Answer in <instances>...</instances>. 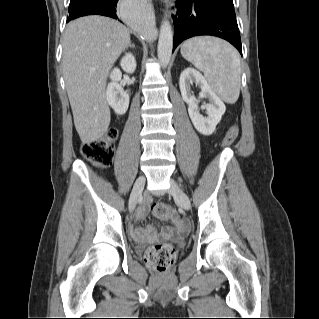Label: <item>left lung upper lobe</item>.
Returning <instances> with one entry per match:
<instances>
[{
    "label": "left lung upper lobe",
    "mask_w": 319,
    "mask_h": 319,
    "mask_svg": "<svg viewBox=\"0 0 319 319\" xmlns=\"http://www.w3.org/2000/svg\"><path fill=\"white\" fill-rule=\"evenodd\" d=\"M221 6L234 9L233 0H208Z\"/></svg>",
    "instance_id": "left-lung-upper-lobe-1"
}]
</instances>
